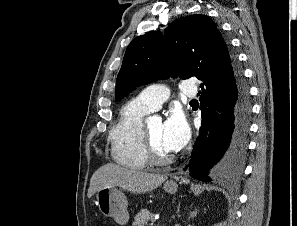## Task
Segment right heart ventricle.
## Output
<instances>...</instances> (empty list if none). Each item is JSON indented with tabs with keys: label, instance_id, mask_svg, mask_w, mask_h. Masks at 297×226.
Returning a JSON list of instances; mask_svg holds the SVG:
<instances>
[{
	"label": "right heart ventricle",
	"instance_id": "e07e8e85",
	"mask_svg": "<svg viewBox=\"0 0 297 226\" xmlns=\"http://www.w3.org/2000/svg\"><path fill=\"white\" fill-rule=\"evenodd\" d=\"M151 110L137 98L128 101L110 132L113 160L127 168L143 169L148 164L141 138L144 117Z\"/></svg>",
	"mask_w": 297,
	"mask_h": 226
}]
</instances>
